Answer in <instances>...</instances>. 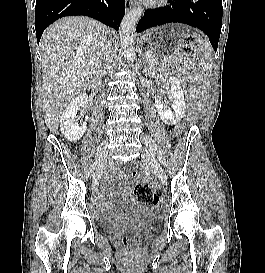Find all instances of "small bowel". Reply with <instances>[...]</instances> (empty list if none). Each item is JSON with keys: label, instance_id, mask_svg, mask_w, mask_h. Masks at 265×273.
<instances>
[{"label": "small bowel", "instance_id": "1", "mask_svg": "<svg viewBox=\"0 0 265 273\" xmlns=\"http://www.w3.org/2000/svg\"><path fill=\"white\" fill-rule=\"evenodd\" d=\"M95 204L97 205V207H103L105 205L103 196L101 194H98L95 197Z\"/></svg>", "mask_w": 265, "mask_h": 273}]
</instances>
